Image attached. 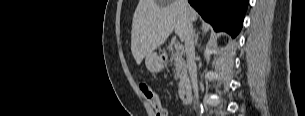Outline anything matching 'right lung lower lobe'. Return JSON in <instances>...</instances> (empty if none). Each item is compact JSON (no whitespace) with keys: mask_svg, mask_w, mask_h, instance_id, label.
<instances>
[{"mask_svg":"<svg viewBox=\"0 0 305 116\" xmlns=\"http://www.w3.org/2000/svg\"><path fill=\"white\" fill-rule=\"evenodd\" d=\"M188 1L216 31H226L234 38L241 30L248 0Z\"/></svg>","mask_w":305,"mask_h":116,"instance_id":"98d812e1","label":"right lung lower lobe"}]
</instances>
